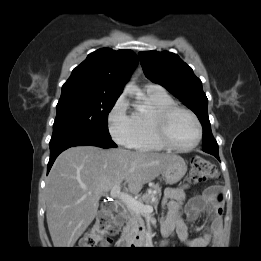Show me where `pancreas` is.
<instances>
[{"label": "pancreas", "instance_id": "obj_1", "mask_svg": "<svg viewBox=\"0 0 261 261\" xmlns=\"http://www.w3.org/2000/svg\"><path fill=\"white\" fill-rule=\"evenodd\" d=\"M160 197L161 187L159 184H152L146 193L138 198V201L145 202L148 205H157ZM123 213L126 219V226L123 228L121 237L133 243L137 241V236H139V240H143L146 231L141 213H137L127 206L124 208ZM140 228L142 229L140 230Z\"/></svg>", "mask_w": 261, "mask_h": 261}]
</instances>
